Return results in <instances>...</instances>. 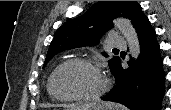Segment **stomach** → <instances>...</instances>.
<instances>
[{
    "instance_id": "stomach-1",
    "label": "stomach",
    "mask_w": 171,
    "mask_h": 110,
    "mask_svg": "<svg viewBox=\"0 0 171 110\" xmlns=\"http://www.w3.org/2000/svg\"><path fill=\"white\" fill-rule=\"evenodd\" d=\"M68 110H100V109L95 108V107H91V108L73 107V108H70ZM114 110H117V109H114Z\"/></svg>"
}]
</instances>
